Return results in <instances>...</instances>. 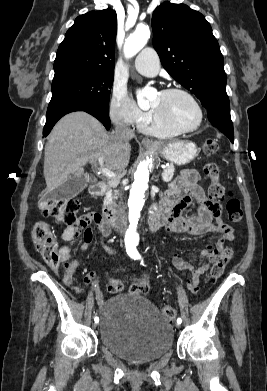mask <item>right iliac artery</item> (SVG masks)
<instances>
[{
    "label": "right iliac artery",
    "mask_w": 267,
    "mask_h": 391,
    "mask_svg": "<svg viewBox=\"0 0 267 391\" xmlns=\"http://www.w3.org/2000/svg\"><path fill=\"white\" fill-rule=\"evenodd\" d=\"M94 320L96 323L99 321L98 317H95Z\"/></svg>",
    "instance_id": "82829eb1"
}]
</instances>
